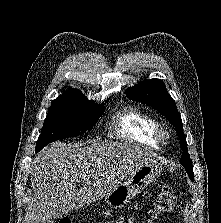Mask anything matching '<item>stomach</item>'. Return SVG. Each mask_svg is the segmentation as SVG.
<instances>
[{"mask_svg":"<svg viewBox=\"0 0 221 223\" xmlns=\"http://www.w3.org/2000/svg\"><path fill=\"white\" fill-rule=\"evenodd\" d=\"M161 173V166L156 161L136 165L126 181L121 182L108 195L106 203L115 209L124 207L132 198L153 182Z\"/></svg>","mask_w":221,"mask_h":223,"instance_id":"stomach-1","label":"stomach"}]
</instances>
